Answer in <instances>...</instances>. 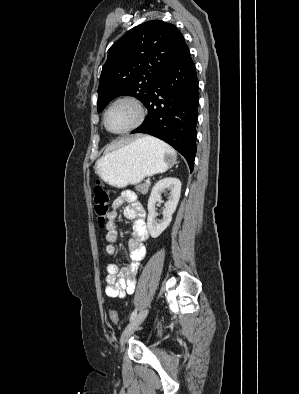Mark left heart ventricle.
Returning a JSON list of instances; mask_svg holds the SVG:
<instances>
[{
	"label": "left heart ventricle",
	"mask_w": 299,
	"mask_h": 394,
	"mask_svg": "<svg viewBox=\"0 0 299 394\" xmlns=\"http://www.w3.org/2000/svg\"><path fill=\"white\" fill-rule=\"evenodd\" d=\"M136 119L134 107L128 103L114 106L107 115V126L112 131H121L128 128Z\"/></svg>",
	"instance_id": "b2bd125f"
}]
</instances>
